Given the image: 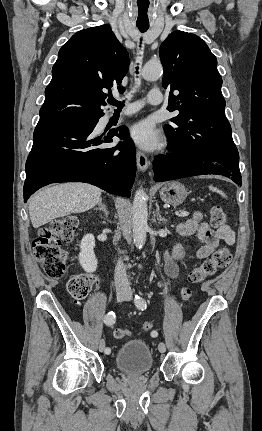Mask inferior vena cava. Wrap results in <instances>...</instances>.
<instances>
[{"instance_id":"obj_1","label":"inferior vena cava","mask_w":262,"mask_h":431,"mask_svg":"<svg viewBox=\"0 0 262 431\" xmlns=\"http://www.w3.org/2000/svg\"><path fill=\"white\" fill-rule=\"evenodd\" d=\"M114 280H115V285L117 290L130 291V284L126 274V269L123 266V263L121 262V260H118L117 265L115 267Z\"/></svg>"}]
</instances>
